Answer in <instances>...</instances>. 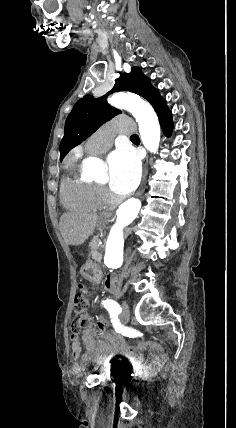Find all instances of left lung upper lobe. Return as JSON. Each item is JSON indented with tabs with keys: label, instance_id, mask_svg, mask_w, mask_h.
Segmentation results:
<instances>
[{
	"label": "left lung upper lobe",
	"instance_id": "left-lung-upper-lobe-1",
	"mask_svg": "<svg viewBox=\"0 0 236 428\" xmlns=\"http://www.w3.org/2000/svg\"><path fill=\"white\" fill-rule=\"evenodd\" d=\"M131 91L147 99L155 111L166 105L165 100L151 85L139 67H133L129 74L123 73L115 81L113 89L105 96L95 99L86 95L80 99L68 115L65 123L64 136L60 143V160L75 146L82 143L94 133L103 123L121 113L105 101V98L115 91Z\"/></svg>",
	"mask_w": 236,
	"mask_h": 428
}]
</instances>
